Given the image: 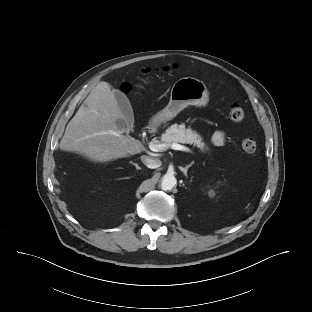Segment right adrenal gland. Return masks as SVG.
Returning a JSON list of instances; mask_svg holds the SVG:
<instances>
[{"label":"right adrenal gland","instance_id":"obj_1","mask_svg":"<svg viewBox=\"0 0 312 312\" xmlns=\"http://www.w3.org/2000/svg\"><path fill=\"white\" fill-rule=\"evenodd\" d=\"M132 165H134L135 167H136V169L137 170H141V167L138 165V164H136V163H133V162H130Z\"/></svg>","mask_w":312,"mask_h":312}]
</instances>
